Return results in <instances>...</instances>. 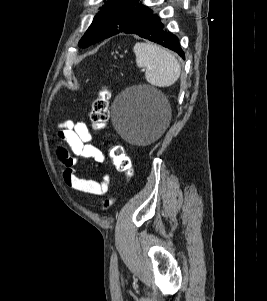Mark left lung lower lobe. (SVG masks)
<instances>
[{"mask_svg": "<svg viewBox=\"0 0 267 301\" xmlns=\"http://www.w3.org/2000/svg\"><path fill=\"white\" fill-rule=\"evenodd\" d=\"M127 34H136L150 41L161 44L175 52L183 59L185 58L178 38L170 32H167L160 18L152 13L145 20L123 31Z\"/></svg>", "mask_w": 267, "mask_h": 301, "instance_id": "1", "label": "left lung lower lobe"}]
</instances>
